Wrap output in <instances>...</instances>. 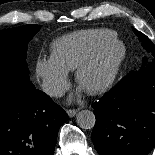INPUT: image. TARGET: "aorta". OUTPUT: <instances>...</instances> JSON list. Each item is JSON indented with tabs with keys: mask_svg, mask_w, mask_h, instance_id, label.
Listing matches in <instances>:
<instances>
[{
	"mask_svg": "<svg viewBox=\"0 0 155 155\" xmlns=\"http://www.w3.org/2000/svg\"><path fill=\"white\" fill-rule=\"evenodd\" d=\"M77 125L82 129H91L94 127L96 118L92 111L81 110L76 117Z\"/></svg>",
	"mask_w": 155,
	"mask_h": 155,
	"instance_id": "aorta-1",
	"label": "aorta"
}]
</instances>
